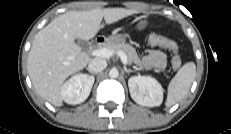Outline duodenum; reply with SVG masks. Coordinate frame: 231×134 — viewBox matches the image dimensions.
<instances>
[{
  "mask_svg": "<svg viewBox=\"0 0 231 134\" xmlns=\"http://www.w3.org/2000/svg\"><path fill=\"white\" fill-rule=\"evenodd\" d=\"M105 42V39L103 37H98L93 40L92 44L94 47H99Z\"/></svg>",
  "mask_w": 231,
  "mask_h": 134,
  "instance_id": "duodenum-1",
  "label": "duodenum"
}]
</instances>
